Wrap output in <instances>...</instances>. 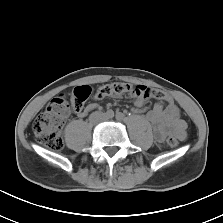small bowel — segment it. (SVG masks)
I'll use <instances>...</instances> for the list:
<instances>
[{
    "instance_id": "small-bowel-1",
    "label": "small bowel",
    "mask_w": 223,
    "mask_h": 223,
    "mask_svg": "<svg viewBox=\"0 0 223 223\" xmlns=\"http://www.w3.org/2000/svg\"><path fill=\"white\" fill-rule=\"evenodd\" d=\"M165 102L167 103L166 106L163 105L162 101L156 102L146 115L147 120L153 126L156 139L162 141L169 133H174L181 140L185 139L186 123L180 117L177 106L174 104L171 97L169 101ZM134 105L136 107H141L143 106V101L141 99H135ZM96 108L97 105L95 103H90L82 111L78 112V116L85 117Z\"/></svg>"
}]
</instances>
